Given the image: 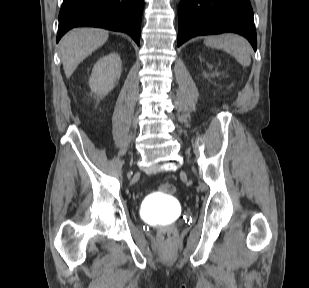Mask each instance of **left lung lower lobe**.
Wrapping results in <instances>:
<instances>
[{
  "label": "left lung lower lobe",
  "instance_id": "left-lung-lower-lobe-1",
  "mask_svg": "<svg viewBox=\"0 0 309 288\" xmlns=\"http://www.w3.org/2000/svg\"><path fill=\"white\" fill-rule=\"evenodd\" d=\"M177 45L209 34L235 32L257 49L253 10L249 0H181L178 7Z\"/></svg>",
  "mask_w": 309,
  "mask_h": 288
}]
</instances>
